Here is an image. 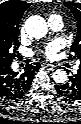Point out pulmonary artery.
<instances>
[{"instance_id":"1","label":"pulmonary artery","mask_w":81,"mask_h":124,"mask_svg":"<svg viewBox=\"0 0 81 124\" xmlns=\"http://www.w3.org/2000/svg\"><path fill=\"white\" fill-rule=\"evenodd\" d=\"M48 25L53 31H59L63 27L62 18L59 16L49 18ZM75 69H77V67Z\"/></svg>"}]
</instances>
